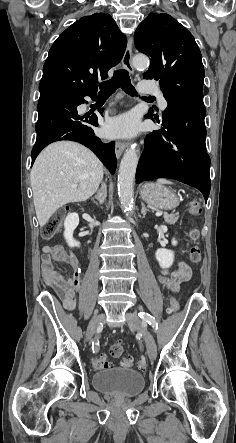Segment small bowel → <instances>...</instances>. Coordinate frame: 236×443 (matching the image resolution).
I'll return each instance as SVG.
<instances>
[{
    "mask_svg": "<svg viewBox=\"0 0 236 443\" xmlns=\"http://www.w3.org/2000/svg\"><path fill=\"white\" fill-rule=\"evenodd\" d=\"M42 276L47 287L62 301L66 309H72L75 305L76 295L79 292L82 270L77 258L70 252L65 251L58 245L45 246L42 255ZM53 261L68 265L72 275L64 274L53 269ZM191 267L185 262H179L177 269L170 272L159 269L158 281L166 289L175 291L178 285L191 278Z\"/></svg>",
    "mask_w": 236,
    "mask_h": 443,
    "instance_id": "small-bowel-1",
    "label": "small bowel"
}]
</instances>
